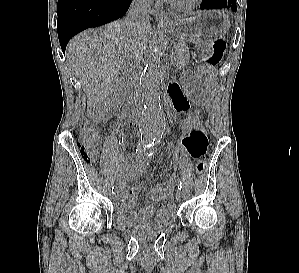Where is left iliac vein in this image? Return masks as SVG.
<instances>
[{"instance_id":"left-iliac-vein-1","label":"left iliac vein","mask_w":299,"mask_h":273,"mask_svg":"<svg viewBox=\"0 0 299 273\" xmlns=\"http://www.w3.org/2000/svg\"><path fill=\"white\" fill-rule=\"evenodd\" d=\"M176 197H177L178 201H181L184 199V193L181 190H178L176 193Z\"/></svg>"}]
</instances>
